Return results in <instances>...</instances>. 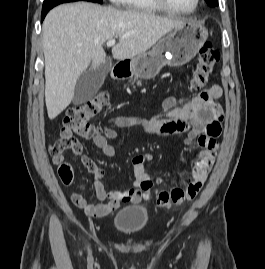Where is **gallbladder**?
Listing matches in <instances>:
<instances>
[{"label":"gallbladder","mask_w":265,"mask_h":269,"mask_svg":"<svg viewBox=\"0 0 265 269\" xmlns=\"http://www.w3.org/2000/svg\"><path fill=\"white\" fill-rule=\"evenodd\" d=\"M111 65L103 63L96 70L85 71L77 80L72 99L73 104L80 105L93 98L104 83Z\"/></svg>","instance_id":"bac80fb5"}]
</instances>
